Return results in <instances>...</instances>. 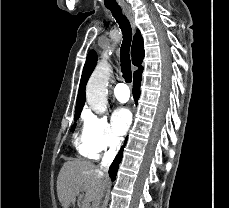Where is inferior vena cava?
I'll use <instances>...</instances> for the list:
<instances>
[{"label": "inferior vena cava", "mask_w": 229, "mask_h": 208, "mask_svg": "<svg viewBox=\"0 0 229 208\" xmlns=\"http://www.w3.org/2000/svg\"><path fill=\"white\" fill-rule=\"evenodd\" d=\"M116 156V152H105L104 154V158H102V162H101V166H100V170H102V172H100L99 170V174L101 176V178H104V180H107L108 176L106 174V172H108V168L110 166V164H112L114 158Z\"/></svg>", "instance_id": "obj_1"}]
</instances>
